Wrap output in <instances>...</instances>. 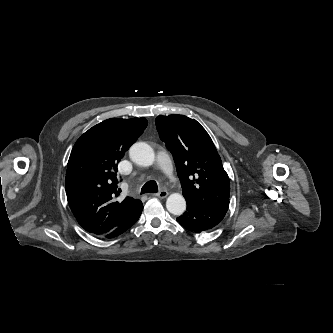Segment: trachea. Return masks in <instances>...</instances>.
<instances>
[{"label":"trachea","instance_id":"obj_1","mask_svg":"<svg viewBox=\"0 0 333 333\" xmlns=\"http://www.w3.org/2000/svg\"><path fill=\"white\" fill-rule=\"evenodd\" d=\"M158 192V185L155 181L151 180L144 184L141 189V194L144 193H157Z\"/></svg>","mask_w":333,"mask_h":333}]
</instances>
